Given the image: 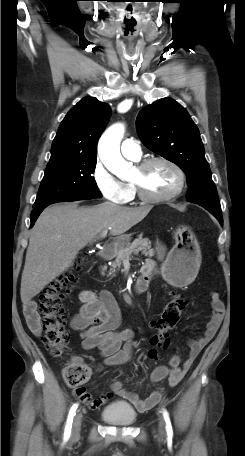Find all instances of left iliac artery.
Instances as JSON below:
<instances>
[{
  "label": "left iliac artery",
  "mask_w": 245,
  "mask_h": 456,
  "mask_svg": "<svg viewBox=\"0 0 245 456\" xmlns=\"http://www.w3.org/2000/svg\"><path fill=\"white\" fill-rule=\"evenodd\" d=\"M163 416H164V420H165V423H166L165 428H166V431H167V435L169 437H172L173 429H172L171 421H170V418H169V414H168V412L165 409H163Z\"/></svg>",
  "instance_id": "44dca946"
}]
</instances>
